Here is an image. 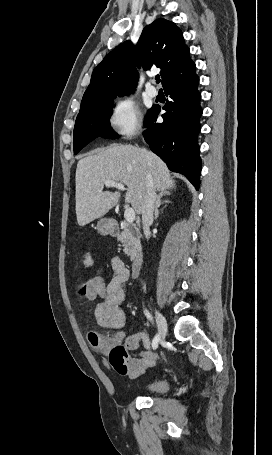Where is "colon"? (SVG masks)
<instances>
[{"label": "colon", "instance_id": "1", "mask_svg": "<svg viewBox=\"0 0 272 455\" xmlns=\"http://www.w3.org/2000/svg\"><path fill=\"white\" fill-rule=\"evenodd\" d=\"M83 265L87 271L93 269V260L89 255L83 258ZM107 279L102 270H97L93 276L84 281L77 290V295L80 299L91 300L98 297H103ZM89 340L95 347L105 349L109 354V362L111 366L118 372H124L127 367V352L126 348L119 343L111 342L100 337L97 333H90Z\"/></svg>", "mask_w": 272, "mask_h": 455}]
</instances>
